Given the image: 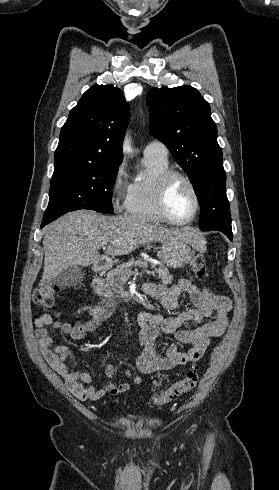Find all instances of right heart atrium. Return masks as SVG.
<instances>
[{
	"instance_id": "obj_1",
	"label": "right heart atrium",
	"mask_w": 279,
	"mask_h": 490,
	"mask_svg": "<svg viewBox=\"0 0 279 490\" xmlns=\"http://www.w3.org/2000/svg\"><path fill=\"white\" fill-rule=\"evenodd\" d=\"M132 184L127 179L124 165H119L114 172L111 182V202L117 212L127 209Z\"/></svg>"
}]
</instances>
